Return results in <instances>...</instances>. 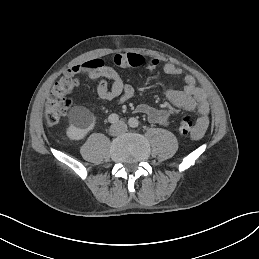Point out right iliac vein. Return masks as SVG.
<instances>
[{
    "mask_svg": "<svg viewBox=\"0 0 259 259\" xmlns=\"http://www.w3.org/2000/svg\"><path fill=\"white\" fill-rule=\"evenodd\" d=\"M110 134L113 136H117L120 133V127L118 125H113L109 130Z\"/></svg>",
    "mask_w": 259,
    "mask_h": 259,
    "instance_id": "63e3f726",
    "label": "right iliac vein"
}]
</instances>
